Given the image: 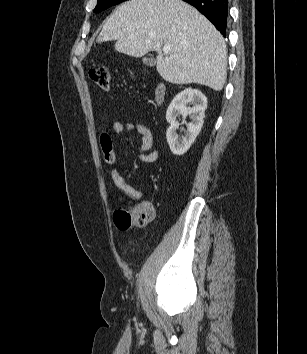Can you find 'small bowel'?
Instances as JSON below:
<instances>
[{
    "mask_svg": "<svg viewBox=\"0 0 307 354\" xmlns=\"http://www.w3.org/2000/svg\"><path fill=\"white\" fill-rule=\"evenodd\" d=\"M111 128L116 133L135 132L141 136V146L139 158L145 163H153L159 157V150L153 148L154 137L151 130L142 123L139 122H121L115 121L112 123ZM101 145L105 155L106 161L114 165L116 162V156L112 149L111 137L108 133L101 135ZM111 179L114 185L122 191L124 194L134 200H140L143 197V192L135 189L128 184L125 179L120 175L118 169L113 167L111 170ZM153 215V208H152Z\"/></svg>",
    "mask_w": 307,
    "mask_h": 354,
    "instance_id": "c3829d8e",
    "label": "small bowel"
}]
</instances>
